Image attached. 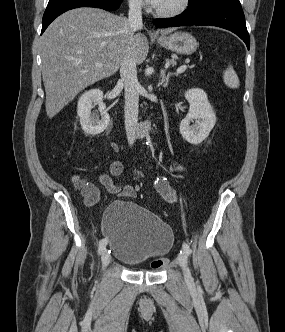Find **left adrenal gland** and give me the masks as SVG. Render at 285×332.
<instances>
[{
  "label": "left adrenal gland",
  "mask_w": 285,
  "mask_h": 332,
  "mask_svg": "<svg viewBox=\"0 0 285 332\" xmlns=\"http://www.w3.org/2000/svg\"><path fill=\"white\" fill-rule=\"evenodd\" d=\"M174 75L175 73L172 72H169L166 75V71L164 69L161 71V77H162L161 83L163 84L164 87H167L170 77Z\"/></svg>",
  "instance_id": "obj_1"
}]
</instances>
